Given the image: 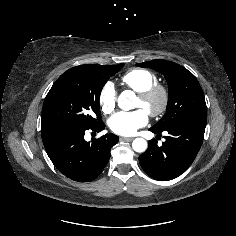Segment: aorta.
<instances>
[{
    "label": "aorta",
    "instance_id": "1",
    "mask_svg": "<svg viewBox=\"0 0 236 236\" xmlns=\"http://www.w3.org/2000/svg\"><path fill=\"white\" fill-rule=\"evenodd\" d=\"M131 98V92L130 91H124L119 97H118V105L120 108H124L125 102H127ZM147 141L143 138H136L133 140L132 148L134 151L138 153L145 152L147 149Z\"/></svg>",
    "mask_w": 236,
    "mask_h": 236
}]
</instances>
